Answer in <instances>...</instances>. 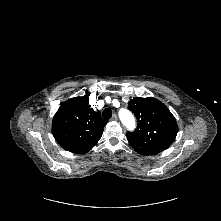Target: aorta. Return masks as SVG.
<instances>
[{
	"label": "aorta",
	"mask_w": 221,
	"mask_h": 221,
	"mask_svg": "<svg viewBox=\"0 0 221 221\" xmlns=\"http://www.w3.org/2000/svg\"><path fill=\"white\" fill-rule=\"evenodd\" d=\"M119 116L124 125L132 126L134 124V116L129 110L127 109L120 110Z\"/></svg>",
	"instance_id": "obj_1"
}]
</instances>
